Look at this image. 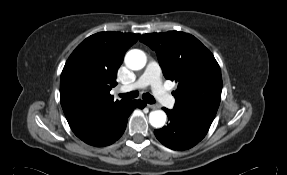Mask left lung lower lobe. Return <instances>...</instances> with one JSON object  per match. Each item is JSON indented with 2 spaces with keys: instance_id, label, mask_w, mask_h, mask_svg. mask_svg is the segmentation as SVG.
<instances>
[{
  "instance_id": "obj_1",
  "label": "left lung lower lobe",
  "mask_w": 287,
  "mask_h": 175,
  "mask_svg": "<svg viewBox=\"0 0 287 175\" xmlns=\"http://www.w3.org/2000/svg\"><path fill=\"white\" fill-rule=\"evenodd\" d=\"M167 113L169 123L161 129H156V138L166 147L173 150H186L195 146L204 137L205 133L188 123L172 110L163 108Z\"/></svg>"
}]
</instances>
